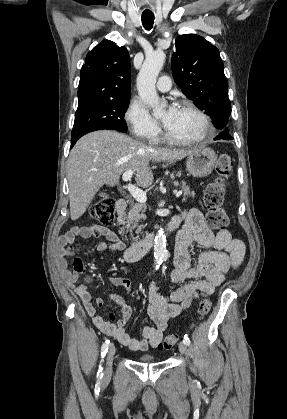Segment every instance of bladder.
<instances>
[{"instance_id":"obj_1","label":"bladder","mask_w":287,"mask_h":419,"mask_svg":"<svg viewBox=\"0 0 287 419\" xmlns=\"http://www.w3.org/2000/svg\"><path fill=\"white\" fill-rule=\"evenodd\" d=\"M141 361H153V358L151 356H142L140 358Z\"/></svg>"}]
</instances>
